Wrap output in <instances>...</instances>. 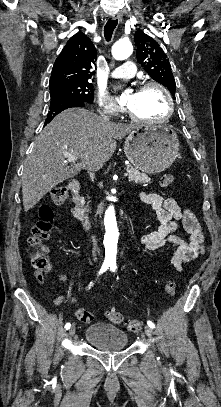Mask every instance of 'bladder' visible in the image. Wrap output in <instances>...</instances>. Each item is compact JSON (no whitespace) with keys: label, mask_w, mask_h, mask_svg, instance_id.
Returning <instances> with one entry per match:
<instances>
[{"label":"bladder","mask_w":221,"mask_h":407,"mask_svg":"<svg viewBox=\"0 0 221 407\" xmlns=\"http://www.w3.org/2000/svg\"><path fill=\"white\" fill-rule=\"evenodd\" d=\"M85 340L102 350H116L126 346L125 331L106 323H93L85 329Z\"/></svg>","instance_id":"1"}]
</instances>
